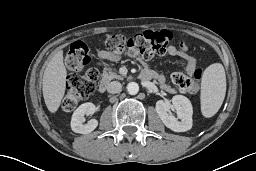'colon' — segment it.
<instances>
[{"instance_id": "colon-1", "label": "colon", "mask_w": 256, "mask_h": 171, "mask_svg": "<svg viewBox=\"0 0 256 171\" xmlns=\"http://www.w3.org/2000/svg\"><path fill=\"white\" fill-rule=\"evenodd\" d=\"M171 37L168 30H145L132 36L116 34L107 37L106 47L108 52L114 55L127 52L131 56L148 60L164 55ZM89 61V46L83 41L73 42L65 59L70 71L66 94L62 101V107L66 111L74 110L95 89L98 73L93 69H86ZM201 77L202 71L197 69L192 75L175 72L171 79L182 92L195 93L199 89Z\"/></svg>"}]
</instances>
